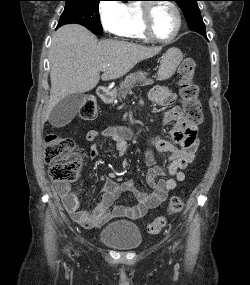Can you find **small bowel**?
Listing matches in <instances>:
<instances>
[{
  "label": "small bowel",
  "instance_id": "1",
  "mask_svg": "<svg viewBox=\"0 0 250 285\" xmlns=\"http://www.w3.org/2000/svg\"><path fill=\"white\" fill-rule=\"evenodd\" d=\"M149 99L159 106H169L175 100V95L162 86L154 87L149 93ZM164 124H171L169 135L172 141L154 136L149 141V148L145 154V161L149 170L146 175V183L151 192L140 191L132 181H126L118 185L107 176L102 177V197L92 211H84L80 207V200L71 191L69 183L57 182L56 190L70 217L85 228L100 227L115 218H128L137 220L146 215L153 208L165 201L167 194L177 187L179 182L185 180L184 169L194 159L198 146L196 130L191 131L182 115L180 106L171 108L162 118ZM133 129L125 126L108 127L103 131L89 130L86 140L94 142L100 135L109 138L115 145L119 156L127 153V141L134 137ZM165 154L169 165L168 179H158L165 174L164 169L156 165V156ZM99 149L96 144L90 146V157L97 158ZM123 192H130L137 200L134 206L114 205V201Z\"/></svg>",
  "mask_w": 250,
  "mask_h": 285
}]
</instances>
